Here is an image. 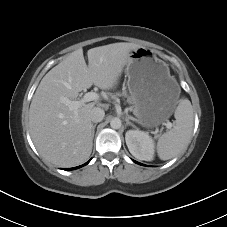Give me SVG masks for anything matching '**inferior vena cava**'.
<instances>
[{
  "label": "inferior vena cava",
  "mask_w": 227,
  "mask_h": 227,
  "mask_svg": "<svg viewBox=\"0 0 227 227\" xmlns=\"http://www.w3.org/2000/svg\"><path fill=\"white\" fill-rule=\"evenodd\" d=\"M105 116V112L103 109L99 108V107H94L91 111V121L98 123L101 122L103 120Z\"/></svg>",
  "instance_id": "inferior-vena-cava-1"
}]
</instances>
